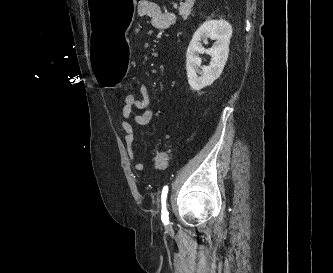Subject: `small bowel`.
I'll return each mask as SVG.
<instances>
[{"label": "small bowel", "instance_id": "obj_1", "mask_svg": "<svg viewBox=\"0 0 333 273\" xmlns=\"http://www.w3.org/2000/svg\"><path fill=\"white\" fill-rule=\"evenodd\" d=\"M138 13L142 17L150 19L151 25L157 29H168L175 23V17L171 12H164L157 3L149 0H141L138 4ZM139 97H136L134 109H138L141 113L136 114L134 109H123L120 122V128L124 131V141L130 161L136 171L144 170V164L136 160L133 143L135 140V132L133 123L139 126L147 125L153 118V111L150 107V93L146 85H141L139 88Z\"/></svg>", "mask_w": 333, "mask_h": 273}]
</instances>
